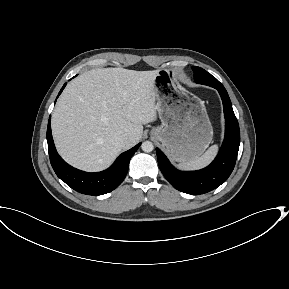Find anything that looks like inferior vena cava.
<instances>
[{"mask_svg":"<svg viewBox=\"0 0 289 289\" xmlns=\"http://www.w3.org/2000/svg\"><path fill=\"white\" fill-rule=\"evenodd\" d=\"M126 141H127V137L126 136H121V137L118 138V143L120 145H123Z\"/></svg>","mask_w":289,"mask_h":289,"instance_id":"obj_1","label":"inferior vena cava"}]
</instances>
